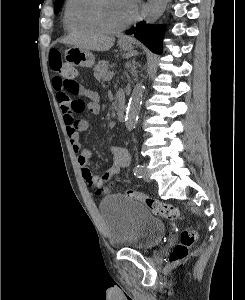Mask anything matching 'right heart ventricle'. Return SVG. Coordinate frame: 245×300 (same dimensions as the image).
Segmentation results:
<instances>
[{"label":"right heart ventricle","mask_w":245,"mask_h":300,"mask_svg":"<svg viewBox=\"0 0 245 300\" xmlns=\"http://www.w3.org/2000/svg\"><path fill=\"white\" fill-rule=\"evenodd\" d=\"M90 0H67L64 12V24L72 33L93 34L99 31L88 19Z\"/></svg>","instance_id":"1"}]
</instances>
